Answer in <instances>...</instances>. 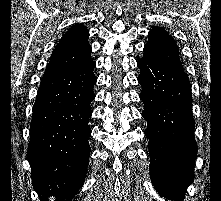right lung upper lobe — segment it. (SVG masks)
<instances>
[{
    "label": "right lung upper lobe",
    "instance_id": "1",
    "mask_svg": "<svg viewBox=\"0 0 221 201\" xmlns=\"http://www.w3.org/2000/svg\"><path fill=\"white\" fill-rule=\"evenodd\" d=\"M88 37L85 26H72L59 40L47 68H81L93 63Z\"/></svg>",
    "mask_w": 221,
    "mask_h": 201
}]
</instances>
